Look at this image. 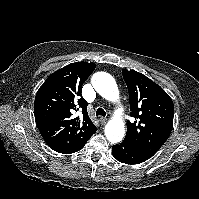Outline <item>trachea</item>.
<instances>
[{"mask_svg": "<svg viewBox=\"0 0 199 199\" xmlns=\"http://www.w3.org/2000/svg\"><path fill=\"white\" fill-rule=\"evenodd\" d=\"M106 115V112L104 111L103 108H98L97 111H96V116H103L105 117Z\"/></svg>", "mask_w": 199, "mask_h": 199, "instance_id": "trachea-1", "label": "trachea"}]
</instances>
